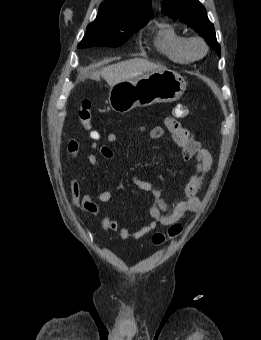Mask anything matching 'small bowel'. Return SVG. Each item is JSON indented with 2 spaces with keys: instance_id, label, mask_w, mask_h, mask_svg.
Returning a JSON list of instances; mask_svg holds the SVG:
<instances>
[{
  "instance_id": "c3829d8e",
  "label": "small bowel",
  "mask_w": 261,
  "mask_h": 340,
  "mask_svg": "<svg viewBox=\"0 0 261 340\" xmlns=\"http://www.w3.org/2000/svg\"><path fill=\"white\" fill-rule=\"evenodd\" d=\"M164 125L171 133L174 142L182 149L185 160L195 159V172L188 179L184 191L183 198L167 205L162 199L161 190L154 187L148 181L140 179L138 176H132V182L139 189L150 193L155 202L149 207V215L152 218L148 224L142 226L138 230L131 232L128 227H122L120 224L110 218L104 216L101 221V227L104 230L118 232L121 239L126 240L130 237L139 240L147 234L153 232L159 225L168 226L176 223L188 212H195L198 210L200 201L197 197L201 191L204 178L208 174L212 166V156L206 149L202 148L199 141L196 140L189 130L185 129L180 122L173 117H166ZM129 131L136 133H148L153 139H160L164 135V128L161 126H139L130 128ZM118 136L115 133H110L106 136L108 143H115ZM94 139L91 147L100 152L105 158H113V151L106 145H100ZM67 151L73 159H77L80 155V142L72 139L68 142ZM87 162L96 167L98 164L97 155L92 153L87 156ZM72 203L76 209L82 212H87L92 215H99L101 213V204L108 202L112 194L110 191H102L98 195V199H93L89 194L81 195L79 183L76 180L70 181Z\"/></svg>"
}]
</instances>
